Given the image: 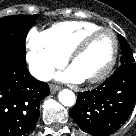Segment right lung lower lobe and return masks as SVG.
<instances>
[{
	"label": "right lung lower lobe",
	"instance_id": "98d812e1",
	"mask_svg": "<svg viewBox=\"0 0 136 136\" xmlns=\"http://www.w3.org/2000/svg\"><path fill=\"white\" fill-rule=\"evenodd\" d=\"M49 86L32 77L26 63L0 60V136H28Z\"/></svg>",
	"mask_w": 136,
	"mask_h": 136
}]
</instances>
